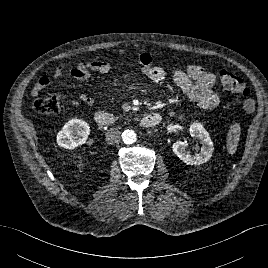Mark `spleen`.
Wrapping results in <instances>:
<instances>
[{"instance_id": "3e777b00", "label": "spleen", "mask_w": 268, "mask_h": 268, "mask_svg": "<svg viewBox=\"0 0 268 268\" xmlns=\"http://www.w3.org/2000/svg\"><path fill=\"white\" fill-rule=\"evenodd\" d=\"M240 125L238 123H235L234 125H231L230 130L228 132V138H227V147L228 152L230 154H233L238 146V141L240 139Z\"/></svg>"}]
</instances>
